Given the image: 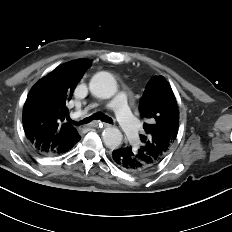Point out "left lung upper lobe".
Masks as SVG:
<instances>
[{
  "mask_svg": "<svg viewBox=\"0 0 232 232\" xmlns=\"http://www.w3.org/2000/svg\"><path fill=\"white\" fill-rule=\"evenodd\" d=\"M145 133L141 146L134 150L137 157L150 168L167 155L179 129V109L175 95L162 76H154L147 84L139 105Z\"/></svg>",
  "mask_w": 232,
  "mask_h": 232,
  "instance_id": "5c2ea615",
  "label": "left lung upper lobe"
}]
</instances>
